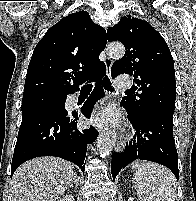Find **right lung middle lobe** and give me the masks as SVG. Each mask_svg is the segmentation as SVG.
<instances>
[{"mask_svg": "<svg viewBox=\"0 0 196 201\" xmlns=\"http://www.w3.org/2000/svg\"><path fill=\"white\" fill-rule=\"evenodd\" d=\"M65 101L66 96L33 95L23 97L22 113L31 110H51L66 114Z\"/></svg>", "mask_w": 196, "mask_h": 201, "instance_id": "right-lung-middle-lobe-1", "label": "right lung middle lobe"}]
</instances>
